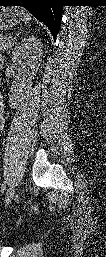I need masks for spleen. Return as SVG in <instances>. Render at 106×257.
Instances as JSON below:
<instances>
[{"instance_id":"spleen-1","label":"spleen","mask_w":106,"mask_h":257,"mask_svg":"<svg viewBox=\"0 0 106 257\" xmlns=\"http://www.w3.org/2000/svg\"><path fill=\"white\" fill-rule=\"evenodd\" d=\"M31 19L30 14L27 12L23 13L22 20L27 23Z\"/></svg>"}]
</instances>
